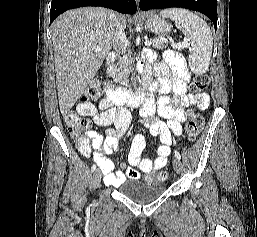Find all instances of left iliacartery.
Masks as SVG:
<instances>
[{
  "label": "left iliac artery",
  "instance_id": "obj_1",
  "mask_svg": "<svg viewBox=\"0 0 257 237\" xmlns=\"http://www.w3.org/2000/svg\"><path fill=\"white\" fill-rule=\"evenodd\" d=\"M174 153H175V157L180 160L181 155L179 154V152L175 150Z\"/></svg>",
  "mask_w": 257,
  "mask_h": 237
}]
</instances>
